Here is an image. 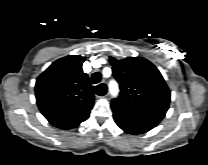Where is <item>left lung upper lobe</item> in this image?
Segmentation results:
<instances>
[{"instance_id": "obj_1", "label": "left lung upper lobe", "mask_w": 208, "mask_h": 165, "mask_svg": "<svg viewBox=\"0 0 208 165\" xmlns=\"http://www.w3.org/2000/svg\"><path fill=\"white\" fill-rule=\"evenodd\" d=\"M120 94L111 101L113 115L156 127L164 118L171 94L159 70L142 57H110Z\"/></svg>"}]
</instances>
